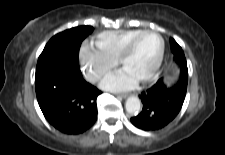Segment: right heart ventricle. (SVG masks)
<instances>
[{
  "label": "right heart ventricle",
  "instance_id": "obj_1",
  "mask_svg": "<svg viewBox=\"0 0 225 155\" xmlns=\"http://www.w3.org/2000/svg\"><path fill=\"white\" fill-rule=\"evenodd\" d=\"M141 29H120L100 32L94 39L96 48L106 56L118 60L121 50L128 40Z\"/></svg>",
  "mask_w": 225,
  "mask_h": 155
}]
</instances>
